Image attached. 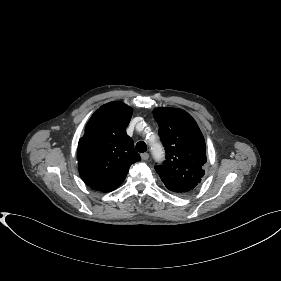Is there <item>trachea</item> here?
Returning a JSON list of instances; mask_svg holds the SVG:
<instances>
[{
    "label": "trachea",
    "instance_id": "3493384b",
    "mask_svg": "<svg viewBox=\"0 0 281 281\" xmlns=\"http://www.w3.org/2000/svg\"><path fill=\"white\" fill-rule=\"evenodd\" d=\"M135 148H136V151L143 153L147 150V145L144 141H139V142H137Z\"/></svg>",
    "mask_w": 281,
    "mask_h": 281
}]
</instances>
